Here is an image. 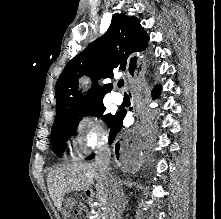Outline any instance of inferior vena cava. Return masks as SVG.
Instances as JSON below:
<instances>
[{
    "label": "inferior vena cava",
    "instance_id": "inferior-vena-cava-1",
    "mask_svg": "<svg viewBox=\"0 0 221 219\" xmlns=\"http://www.w3.org/2000/svg\"><path fill=\"white\" fill-rule=\"evenodd\" d=\"M111 151L110 147L103 142L97 151L95 157V164L98 172L103 177H108L110 181V191H114V198L109 209L105 213L106 219H122V212L125 207V196L121 189V181L118 180V175H112L109 171L108 165L110 162Z\"/></svg>",
    "mask_w": 221,
    "mask_h": 219
}]
</instances>
